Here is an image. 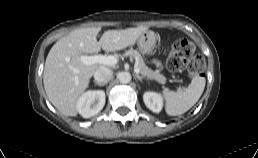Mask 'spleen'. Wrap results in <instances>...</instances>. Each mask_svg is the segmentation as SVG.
<instances>
[{"label":"spleen","mask_w":258,"mask_h":158,"mask_svg":"<svg viewBox=\"0 0 258 158\" xmlns=\"http://www.w3.org/2000/svg\"><path fill=\"white\" fill-rule=\"evenodd\" d=\"M206 80L202 76H195L187 88L178 91H163L166 100V113L171 116L184 114L192 108L201 97Z\"/></svg>","instance_id":"3e777b00"}]
</instances>
